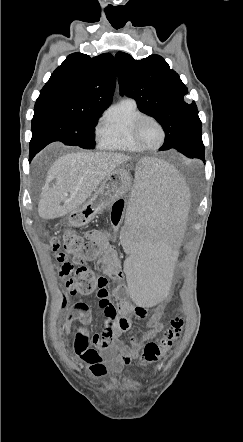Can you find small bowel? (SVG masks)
Returning a JSON list of instances; mask_svg holds the SVG:
<instances>
[{"label": "small bowel", "mask_w": 243, "mask_h": 442, "mask_svg": "<svg viewBox=\"0 0 243 442\" xmlns=\"http://www.w3.org/2000/svg\"><path fill=\"white\" fill-rule=\"evenodd\" d=\"M85 236L90 244L85 257L98 261L106 276L117 283L115 296L118 303L114 304L109 297L106 276H97L96 309L103 321L102 331L90 333L88 325L92 320V307L84 301H78L66 310L64 324L66 331H69L74 321L81 323L74 339L75 356L87 366L94 377L104 378L120 373L138 357L145 342L161 332L162 308H154L147 321V331L142 336L132 337L129 345L123 344L120 337L130 328L132 307L126 296L127 286L122 282L121 261L109 242L108 231L94 229L87 231ZM134 312L138 317L146 316L144 307H135Z\"/></svg>", "instance_id": "small-bowel-1"}]
</instances>
